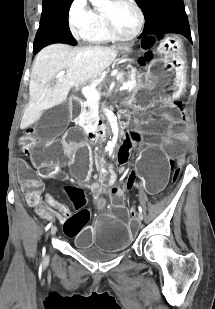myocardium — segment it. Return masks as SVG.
Segmentation results:
<instances>
[{"label": "myocardium", "instance_id": "f54148a6", "mask_svg": "<svg viewBox=\"0 0 215 309\" xmlns=\"http://www.w3.org/2000/svg\"><path fill=\"white\" fill-rule=\"evenodd\" d=\"M120 7H126L133 14V27H113V20H105L106 35H110V38H116L118 43H123L125 40L130 41L137 37L142 27V14L140 10L132 4H122Z\"/></svg>", "mask_w": 215, "mask_h": 309}]
</instances>
